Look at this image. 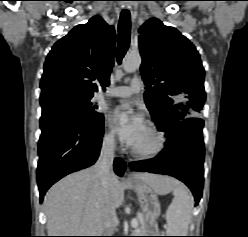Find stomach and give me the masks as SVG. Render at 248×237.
Masks as SVG:
<instances>
[{
	"label": "stomach",
	"instance_id": "1",
	"mask_svg": "<svg viewBox=\"0 0 248 237\" xmlns=\"http://www.w3.org/2000/svg\"><path fill=\"white\" fill-rule=\"evenodd\" d=\"M174 185L175 184L168 183L163 187L161 192H158L151 185L145 182L142 181L136 182L135 190L138 196V201L142 210V214L148 226H151L160 215L161 207L158 200V195L167 194L172 190Z\"/></svg>",
	"mask_w": 248,
	"mask_h": 237
}]
</instances>
